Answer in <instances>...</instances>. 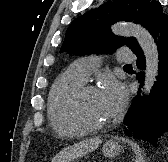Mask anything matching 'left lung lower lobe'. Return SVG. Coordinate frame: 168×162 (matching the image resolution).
I'll return each mask as SVG.
<instances>
[{"label": "left lung lower lobe", "instance_id": "1", "mask_svg": "<svg viewBox=\"0 0 168 162\" xmlns=\"http://www.w3.org/2000/svg\"><path fill=\"white\" fill-rule=\"evenodd\" d=\"M158 47L159 64L157 81L146 100L138 94L133 99L127 115L124 118L125 133L137 139H142L157 146V138L168 130V16L159 18L149 29ZM133 53L137 56V67L145 69V57L140 47ZM140 82L139 93L143 86L144 75L138 73Z\"/></svg>", "mask_w": 168, "mask_h": 162}]
</instances>
